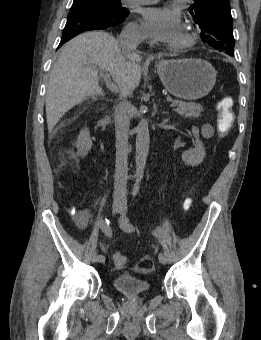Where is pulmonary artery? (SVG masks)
Listing matches in <instances>:
<instances>
[{
  "label": "pulmonary artery",
  "mask_w": 261,
  "mask_h": 340,
  "mask_svg": "<svg viewBox=\"0 0 261 340\" xmlns=\"http://www.w3.org/2000/svg\"><path fill=\"white\" fill-rule=\"evenodd\" d=\"M133 1L135 3H139V4H149V3H154L158 0H130Z\"/></svg>",
  "instance_id": "obj_1"
}]
</instances>
